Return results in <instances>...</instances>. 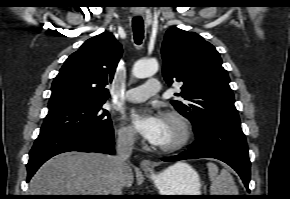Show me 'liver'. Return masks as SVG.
Returning <instances> with one entry per match:
<instances>
[{"label": "liver", "mask_w": 290, "mask_h": 199, "mask_svg": "<svg viewBox=\"0 0 290 199\" xmlns=\"http://www.w3.org/2000/svg\"><path fill=\"white\" fill-rule=\"evenodd\" d=\"M114 164L112 157L99 153L59 154L36 172L30 181V195H110ZM128 166L123 187L133 184Z\"/></svg>", "instance_id": "6515ba94"}]
</instances>
